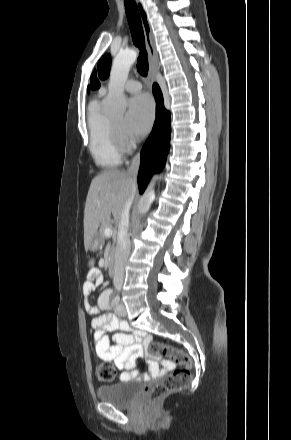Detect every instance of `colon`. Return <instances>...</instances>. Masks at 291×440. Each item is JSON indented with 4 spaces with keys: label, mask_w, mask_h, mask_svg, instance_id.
<instances>
[{
    "label": "colon",
    "mask_w": 291,
    "mask_h": 440,
    "mask_svg": "<svg viewBox=\"0 0 291 440\" xmlns=\"http://www.w3.org/2000/svg\"><path fill=\"white\" fill-rule=\"evenodd\" d=\"M148 354L153 357H167L175 360L181 366L173 371L162 382L157 383L148 390L147 404L155 406L165 396L177 393L186 388L192 381V362L188 354L158 341L148 345ZM97 379L101 382H110L115 378V368L109 363H102L96 369Z\"/></svg>",
    "instance_id": "obj_1"
}]
</instances>
